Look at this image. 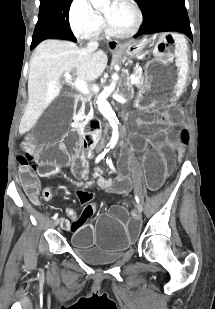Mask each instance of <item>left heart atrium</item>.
Masks as SVG:
<instances>
[{
	"label": "left heart atrium",
	"instance_id": "obj_1",
	"mask_svg": "<svg viewBox=\"0 0 215 309\" xmlns=\"http://www.w3.org/2000/svg\"><path fill=\"white\" fill-rule=\"evenodd\" d=\"M118 12H112L109 14V17L107 18V20H116V16H117Z\"/></svg>",
	"mask_w": 215,
	"mask_h": 309
}]
</instances>
